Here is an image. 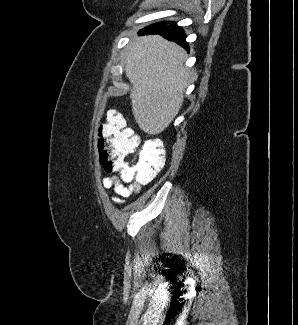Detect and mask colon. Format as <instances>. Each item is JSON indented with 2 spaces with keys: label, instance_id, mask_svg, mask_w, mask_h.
I'll list each match as a JSON object with an SVG mask.
<instances>
[{
  "label": "colon",
  "instance_id": "obj_1",
  "mask_svg": "<svg viewBox=\"0 0 298 325\" xmlns=\"http://www.w3.org/2000/svg\"><path fill=\"white\" fill-rule=\"evenodd\" d=\"M97 135L101 164L123 185L148 183L164 167V154L154 153L150 145L139 149V136L118 112L107 114Z\"/></svg>",
  "mask_w": 298,
  "mask_h": 325
}]
</instances>
